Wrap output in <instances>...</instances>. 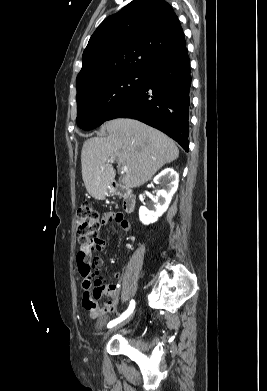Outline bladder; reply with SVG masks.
I'll return each mask as SVG.
<instances>
[{"label":"bladder","mask_w":267,"mask_h":391,"mask_svg":"<svg viewBox=\"0 0 267 391\" xmlns=\"http://www.w3.org/2000/svg\"><path fill=\"white\" fill-rule=\"evenodd\" d=\"M105 323V317H101L98 321V327L101 328Z\"/></svg>","instance_id":"31cf9c89"}]
</instances>
